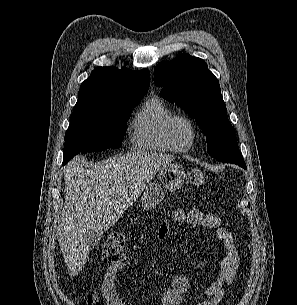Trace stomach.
<instances>
[{
	"instance_id": "stomach-1",
	"label": "stomach",
	"mask_w": 297,
	"mask_h": 305,
	"mask_svg": "<svg viewBox=\"0 0 297 305\" xmlns=\"http://www.w3.org/2000/svg\"><path fill=\"white\" fill-rule=\"evenodd\" d=\"M159 183L147 184L141 198L142 207L145 210L154 209L164 198V190L175 191L180 189L184 179V168L176 163H170L158 171Z\"/></svg>"
}]
</instances>
